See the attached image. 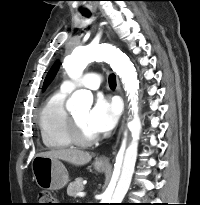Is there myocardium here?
Here are the masks:
<instances>
[{"label": "myocardium", "instance_id": "f54148a6", "mask_svg": "<svg viewBox=\"0 0 200 205\" xmlns=\"http://www.w3.org/2000/svg\"><path fill=\"white\" fill-rule=\"evenodd\" d=\"M67 130L71 142L78 146H91L99 140L97 135L93 137L84 136L76 119L71 114H68Z\"/></svg>", "mask_w": 200, "mask_h": 205}]
</instances>
